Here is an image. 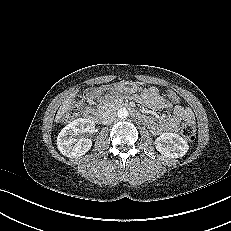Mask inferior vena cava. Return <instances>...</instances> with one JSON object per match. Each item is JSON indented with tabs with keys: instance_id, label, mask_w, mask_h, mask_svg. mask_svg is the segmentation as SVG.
<instances>
[{
	"instance_id": "1",
	"label": "inferior vena cava",
	"mask_w": 231,
	"mask_h": 231,
	"mask_svg": "<svg viewBox=\"0 0 231 231\" xmlns=\"http://www.w3.org/2000/svg\"><path fill=\"white\" fill-rule=\"evenodd\" d=\"M116 119H117L116 112L108 111L103 115L102 123L104 125H109V124L113 123L114 121H116Z\"/></svg>"
}]
</instances>
